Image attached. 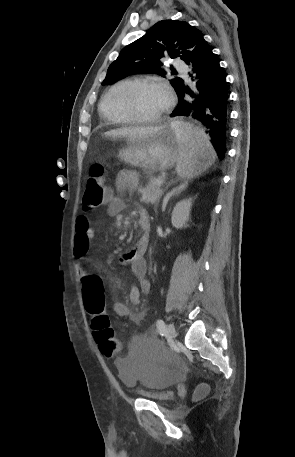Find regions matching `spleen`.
<instances>
[{
    "mask_svg": "<svg viewBox=\"0 0 295 457\" xmlns=\"http://www.w3.org/2000/svg\"><path fill=\"white\" fill-rule=\"evenodd\" d=\"M174 128L178 145L179 160L176 172L179 177L191 179L206 170L209 165L206 159L215 160L216 154L209 142L208 136L201 128H194L189 123L174 121L171 123Z\"/></svg>",
    "mask_w": 295,
    "mask_h": 457,
    "instance_id": "spleen-1",
    "label": "spleen"
}]
</instances>
